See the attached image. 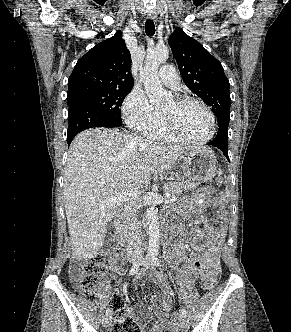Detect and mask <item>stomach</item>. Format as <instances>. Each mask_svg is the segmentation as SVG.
Returning <instances> with one entry per match:
<instances>
[{"instance_id":"0dacf381","label":"stomach","mask_w":291,"mask_h":332,"mask_svg":"<svg viewBox=\"0 0 291 332\" xmlns=\"http://www.w3.org/2000/svg\"><path fill=\"white\" fill-rule=\"evenodd\" d=\"M178 162L184 175L192 181L209 182L218 172L215 154L208 147L186 151L182 153ZM191 199L199 208L205 204V196L202 193L194 194ZM199 201H202V204Z\"/></svg>"}]
</instances>
